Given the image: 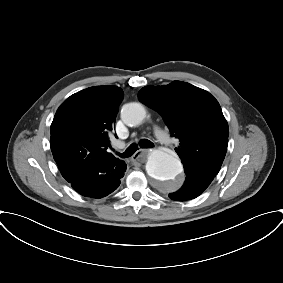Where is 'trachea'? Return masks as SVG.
<instances>
[{
  "label": "trachea",
  "instance_id": "3493384b",
  "mask_svg": "<svg viewBox=\"0 0 283 283\" xmlns=\"http://www.w3.org/2000/svg\"><path fill=\"white\" fill-rule=\"evenodd\" d=\"M140 148H151L154 144L148 139H141L139 142ZM138 149V145L136 143H132L124 153H117V155L121 158H127L132 156Z\"/></svg>",
  "mask_w": 283,
  "mask_h": 283
}]
</instances>
